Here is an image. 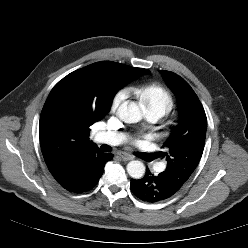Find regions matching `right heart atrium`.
<instances>
[{"label":"right heart atrium","mask_w":248,"mask_h":248,"mask_svg":"<svg viewBox=\"0 0 248 248\" xmlns=\"http://www.w3.org/2000/svg\"><path fill=\"white\" fill-rule=\"evenodd\" d=\"M126 96L127 92L125 89H119L118 91H116L111 101V108L113 110L117 109L125 100Z\"/></svg>","instance_id":"obj_1"}]
</instances>
